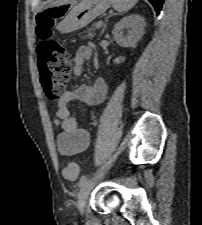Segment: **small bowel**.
I'll use <instances>...</instances> for the list:
<instances>
[{
	"label": "small bowel",
	"mask_w": 202,
	"mask_h": 225,
	"mask_svg": "<svg viewBox=\"0 0 202 225\" xmlns=\"http://www.w3.org/2000/svg\"><path fill=\"white\" fill-rule=\"evenodd\" d=\"M92 57L90 46H80L73 58L74 73H82L84 62ZM108 92L107 85L102 78H97L94 85L81 84L63 93L54 109V122L61 129L57 138L59 152L62 155H74L86 150L89 136L86 129L81 128L77 119L72 116L69 105L74 101L94 106L100 104Z\"/></svg>",
	"instance_id": "1"
}]
</instances>
